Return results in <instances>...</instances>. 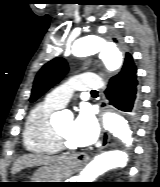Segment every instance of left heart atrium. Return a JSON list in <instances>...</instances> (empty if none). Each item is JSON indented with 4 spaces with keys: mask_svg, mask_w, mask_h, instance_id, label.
Instances as JSON below:
<instances>
[{
    "mask_svg": "<svg viewBox=\"0 0 160 187\" xmlns=\"http://www.w3.org/2000/svg\"><path fill=\"white\" fill-rule=\"evenodd\" d=\"M99 135L95 118L88 110H81L72 124L71 139L78 146L94 143Z\"/></svg>",
    "mask_w": 160,
    "mask_h": 187,
    "instance_id": "left-heart-atrium-1",
    "label": "left heart atrium"
}]
</instances>
